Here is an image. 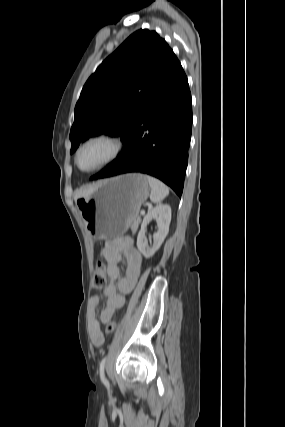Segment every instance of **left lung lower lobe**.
<instances>
[{
	"mask_svg": "<svg viewBox=\"0 0 285 427\" xmlns=\"http://www.w3.org/2000/svg\"><path fill=\"white\" fill-rule=\"evenodd\" d=\"M191 129L189 85L172 51L144 110L124 142L120 157L92 176L91 180L140 172L159 178L181 196Z\"/></svg>",
	"mask_w": 285,
	"mask_h": 427,
	"instance_id": "left-lung-lower-lobe-1",
	"label": "left lung lower lobe"
}]
</instances>
